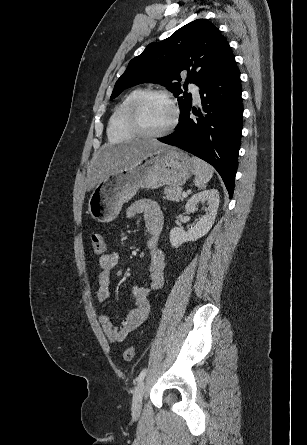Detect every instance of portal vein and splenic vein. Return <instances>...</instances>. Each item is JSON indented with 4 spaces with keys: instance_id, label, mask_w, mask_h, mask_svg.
Returning a JSON list of instances; mask_svg holds the SVG:
<instances>
[{
    "instance_id": "1",
    "label": "portal vein and splenic vein",
    "mask_w": 307,
    "mask_h": 445,
    "mask_svg": "<svg viewBox=\"0 0 307 445\" xmlns=\"http://www.w3.org/2000/svg\"><path fill=\"white\" fill-rule=\"evenodd\" d=\"M182 196H188L187 192H183Z\"/></svg>"
}]
</instances>
